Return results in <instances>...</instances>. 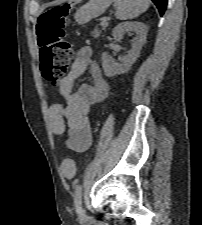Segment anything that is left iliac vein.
<instances>
[{
    "label": "left iliac vein",
    "mask_w": 202,
    "mask_h": 225,
    "mask_svg": "<svg viewBox=\"0 0 202 225\" xmlns=\"http://www.w3.org/2000/svg\"><path fill=\"white\" fill-rule=\"evenodd\" d=\"M84 217H85V213H84L83 211H81V212H80V218H81V219H84Z\"/></svg>",
    "instance_id": "left-iliac-vein-1"
}]
</instances>
